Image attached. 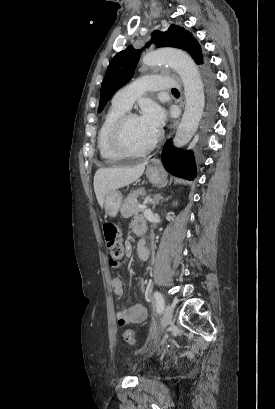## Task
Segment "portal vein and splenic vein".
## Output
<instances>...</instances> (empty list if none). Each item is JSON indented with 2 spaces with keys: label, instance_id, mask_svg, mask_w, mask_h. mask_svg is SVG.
<instances>
[{
  "label": "portal vein and splenic vein",
  "instance_id": "obj_1",
  "mask_svg": "<svg viewBox=\"0 0 275 409\" xmlns=\"http://www.w3.org/2000/svg\"><path fill=\"white\" fill-rule=\"evenodd\" d=\"M138 209H147L146 202H143V205H138Z\"/></svg>",
  "mask_w": 275,
  "mask_h": 409
}]
</instances>
